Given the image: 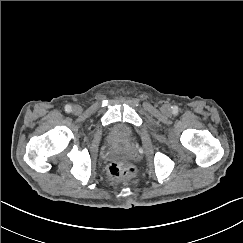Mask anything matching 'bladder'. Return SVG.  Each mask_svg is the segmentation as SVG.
Masks as SVG:
<instances>
[{"label": "bladder", "instance_id": "bladder-1", "mask_svg": "<svg viewBox=\"0 0 243 243\" xmlns=\"http://www.w3.org/2000/svg\"><path fill=\"white\" fill-rule=\"evenodd\" d=\"M133 137L132 129L125 123L114 124L108 134V140L112 144L124 145Z\"/></svg>", "mask_w": 243, "mask_h": 243}]
</instances>
